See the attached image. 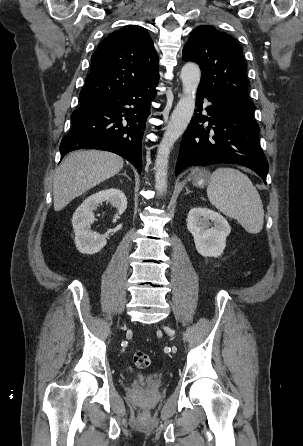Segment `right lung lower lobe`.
Returning <instances> with one entry per match:
<instances>
[{"instance_id": "right-lung-lower-lobe-1", "label": "right lung lower lobe", "mask_w": 303, "mask_h": 446, "mask_svg": "<svg viewBox=\"0 0 303 446\" xmlns=\"http://www.w3.org/2000/svg\"><path fill=\"white\" fill-rule=\"evenodd\" d=\"M157 83L114 92L81 104L72 113V128L60 144L61 158L73 150L95 148L122 156L140 173L142 137Z\"/></svg>"}]
</instances>
